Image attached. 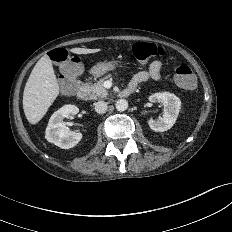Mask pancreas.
Segmentation results:
<instances>
[{"label":"pancreas","mask_w":232,"mask_h":232,"mask_svg":"<svg viewBox=\"0 0 232 232\" xmlns=\"http://www.w3.org/2000/svg\"><path fill=\"white\" fill-rule=\"evenodd\" d=\"M104 79H100L97 83L93 85L87 84L85 89L89 95L90 99L97 100L107 97L108 91L103 86Z\"/></svg>","instance_id":"cf45deb5"}]
</instances>
